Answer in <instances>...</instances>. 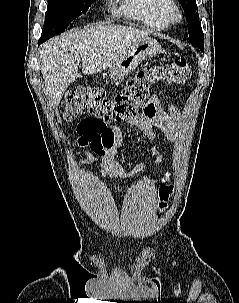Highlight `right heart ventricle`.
Masks as SVG:
<instances>
[{
  "label": "right heart ventricle",
  "mask_w": 239,
  "mask_h": 303,
  "mask_svg": "<svg viewBox=\"0 0 239 303\" xmlns=\"http://www.w3.org/2000/svg\"><path fill=\"white\" fill-rule=\"evenodd\" d=\"M168 3L169 0H120L118 13L149 29L163 30L170 25L165 13Z\"/></svg>",
  "instance_id": "right-heart-ventricle-1"
}]
</instances>
